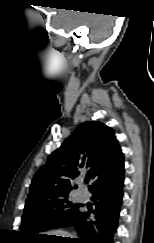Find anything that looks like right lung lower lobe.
<instances>
[{"instance_id": "98d812e1", "label": "right lung lower lobe", "mask_w": 154, "mask_h": 243, "mask_svg": "<svg viewBox=\"0 0 154 243\" xmlns=\"http://www.w3.org/2000/svg\"><path fill=\"white\" fill-rule=\"evenodd\" d=\"M124 165L90 187L94 209L79 210L62 226L76 228L79 238L65 239V243H113L123 197Z\"/></svg>"}]
</instances>
